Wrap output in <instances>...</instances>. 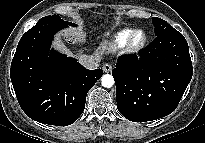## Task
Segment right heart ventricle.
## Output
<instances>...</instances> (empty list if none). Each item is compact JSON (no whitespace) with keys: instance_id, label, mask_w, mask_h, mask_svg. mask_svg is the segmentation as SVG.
Here are the masks:
<instances>
[{"instance_id":"right-heart-ventricle-1","label":"right heart ventricle","mask_w":205,"mask_h":143,"mask_svg":"<svg viewBox=\"0 0 205 143\" xmlns=\"http://www.w3.org/2000/svg\"><path fill=\"white\" fill-rule=\"evenodd\" d=\"M132 31L133 30L129 29V28L119 31L107 43V46L112 50H116V49H120V48L124 47L128 41L130 34L132 33Z\"/></svg>"}]
</instances>
